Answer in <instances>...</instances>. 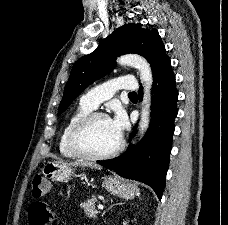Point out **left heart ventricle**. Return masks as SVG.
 <instances>
[{"mask_svg":"<svg viewBox=\"0 0 228 225\" xmlns=\"http://www.w3.org/2000/svg\"><path fill=\"white\" fill-rule=\"evenodd\" d=\"M118 138L111 127L110 121L97 119L94 121L83 136L84 145L97 153L107 152L119 144Z\"/></svg>","mask_w":228,"mask_h":225,"instance_id":"obj_1","label":"left heart ventricle"}]
</instances>
